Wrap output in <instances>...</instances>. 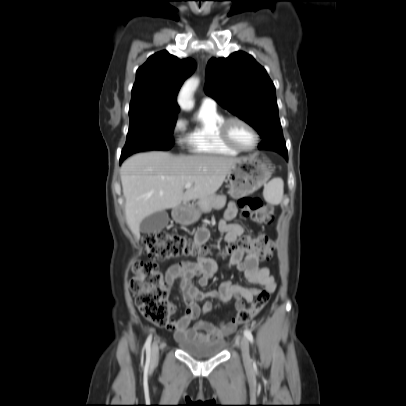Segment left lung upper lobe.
<instances>
[{
    "label": "left lung upper lobe",
    "mask_w": 406,
    "mask_h": 406,
    "mask_svg": "<svg viewBox=\"0 0 406 406\" xmlns=\"http://www.w3.org/2000/svg\"><path fill=\"white\" fill-rule=\"evenodd\" d=\"M205 93L254 127L260 149L287 153L278 117L275 87L265 69L242 51L227 58H211L206 69Z\"/></svg>",
    "instance_id": "5c2ea615"
}]
</instances>
